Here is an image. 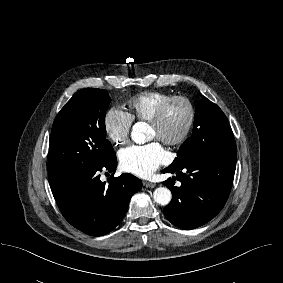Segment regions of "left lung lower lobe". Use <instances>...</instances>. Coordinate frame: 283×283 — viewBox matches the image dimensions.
Masks as SVG:
<instances>
[{
    "label": "left lung lower lobe",
    "mask_w": 283,
    "mask_h": 283,
    "mask_svg": "<svg viewBox=\"0 0 283 283\" xmlns=\"http://www.w3.org/2000/svg\"><path fill=\"white\" fill-rule=\"evenodd\" d=\"M235 168L236 150L165 168L164 173L176 174L163 182L172 192L171 202L163 209L165 217L185 230L210 221L228 199ZM175 180L181 182L180 187L175 186Z\"/></svg>",
    "instance_id": "1"
}]
</instances>
